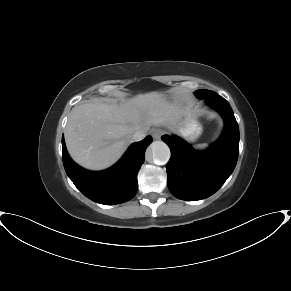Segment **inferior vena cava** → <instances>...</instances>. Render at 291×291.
Listing matches in <instances>:
<instances>
[{
  "mask_svg": "<svg viewBox=\"0 0 291 291\" xmlns=\"http://www.w3.org/2000/svg\"><path fill=\"white\" fill-rule=\"evenodd\" d=\"M146 137V132L139 130L132 135L133 141H141Z\"/></svg>",
  "mask_w": 291,
  "mask_h": 291,
  "instance_id": "obj_1",
  "label": "inferior vena cava"
}]
</instances>
